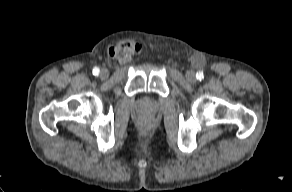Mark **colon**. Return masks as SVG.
<instances>
[{
	"instance_id": "obj_1",
	"label": "colon",
	"mask_w": 292,
	"mask_h": 192,
	"mask_svg": "<svg viewBox=\"0 0 292 192\" xmlns=\"http://www.w3.org/2000/svg\"><path fill=\"white\" fill-rule=\"evenodd\" d=\"M124 50L129 52H139L140 48L133 42H128L123 47Z\"/></svg>"
}]
</instances>
